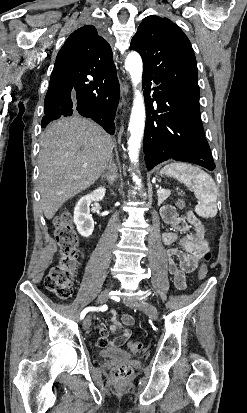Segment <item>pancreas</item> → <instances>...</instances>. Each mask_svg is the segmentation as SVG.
Segmentation results:
<instances>
[{"mask_svg": "<svg viewBox=\"0 0 247 413\" xmlns=\"http://www.w3.org/2000/svg\"><path fill=\"white\" fill-rule=\"evenodd\" d=\"M170 190H165V192H158V204H162L167 196H170Z\"/></svg>", "mask_w": 247, "mask_h": 413, "instance_id": "1", "label": "pancreas"}]
</instances>
